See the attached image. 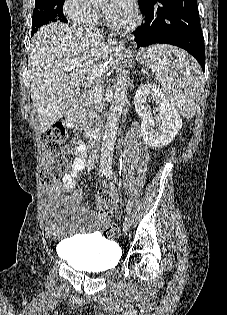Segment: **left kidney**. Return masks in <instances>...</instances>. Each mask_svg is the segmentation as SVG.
Listing matches in <instances>:
<instances>
[{
  "label": "left kidney",
  "instance_id": "obj_1",
  "mask_svg": "<svg viewBox=\"0 0 227 315\" xmlns=\"http://www.w3.org/2000/svg\"><path fill=\"white\" fill-rule=\"evenodd\" d=\"M156 104L158 116L152 117L150 102ZM135 110L142 118L141 135L150 147L168 145L182 127L178 111L164 93L152 83L141 85L134 97Z\"/></svg>",
  "mask_w": 227,
  "mask_h": 315
}]
</instances>
